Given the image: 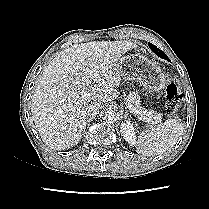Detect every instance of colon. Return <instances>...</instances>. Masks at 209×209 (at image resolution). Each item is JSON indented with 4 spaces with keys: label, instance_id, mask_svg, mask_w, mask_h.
<instances>
[{
    "label": "colon",
    "instance_id": "5ec220e1",
    "mask_svg": "<svg viewBox=\"0 0 209 209\" xmlns=\"http://www.w3.org/2000/svg\"><path fill=\"white\" fill-rule=\"evenodd\" d=\"M182 101V93L179 87L171 82L165 89V108L169 113L175 112Z\"/></svg>",
    "mask_w": 209,
    "mask_h": 209
}]
</instances>
